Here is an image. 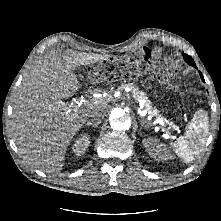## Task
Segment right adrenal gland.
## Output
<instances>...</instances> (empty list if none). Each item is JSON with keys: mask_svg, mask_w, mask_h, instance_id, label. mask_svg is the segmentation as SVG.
<instances>
[{"mask_svg": "<svg viewBox=\"0 0 221 221\" xmlns=\"http://www.w3.org/2000/svg\"><path fill=\"white\" fill-rule=\"evenodd\" d=\"M86 125H87V126H90L88 123H86ZM94 126H95V128H97V125H94Z\"/></svg>", "mask_w": 221, "mask_h": 221, "instance_id": "2a0ac1e0", "label": "right adrenal gland"}]
</instances>
